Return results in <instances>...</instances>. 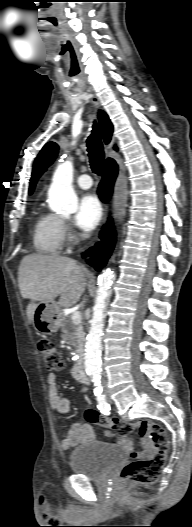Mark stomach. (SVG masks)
<instances>
[{"instance_id": "obj_1", "label": "stomach", "mask_w": 192, "mask_h": 527, "mask_svg": "<svg viewBox=\"0 0 192 527\" xmlns=\"http://www.w3.org/2000/svg\"><path fill=\"white\" fill-rule=\"evenodd\" d=\"M61 311L53 300L39 302L34 313V327L37 332L49 335L61 326Z\"/></svg>"}]
</instances>
